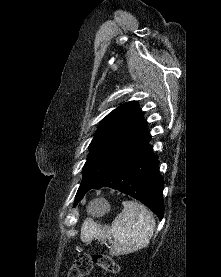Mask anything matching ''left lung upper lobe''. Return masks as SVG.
<instances>
[{"instance_id":"1","label":"left lung upper lobe","mask_w":221,"mask_h":277,"mask_svg":"<svg viewBox=\"0 0 221 277\" xmlns=\"http://www.w3.org/2000/svg\"><path fill=\"white\" fill-rule=\"evenodd\" d=\"M148 123L136 101L121 104L100 123L89 145L76 196L125 165L149 142Z\"/></svg>"}]
</instances>
